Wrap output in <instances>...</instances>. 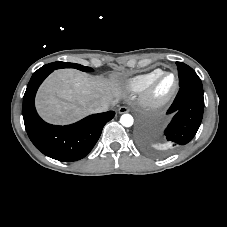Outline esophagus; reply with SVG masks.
Masks as SVG:
<instances>
[{"instance_id": "obj_1", "label": "esophagus", "mask_w": 227, "mask_h": 227, "mask_svg": "<svg viewBox=\"0 0 227 227\" xmlns=\"http://www.w3.org/2000/svg\"><path fill=\"white\" fill-rule=\"evenodd\" d=\"M128 111H129V108L126 107V106H121V107L118 109L119 114H124V113H127Z\"/></svg>"}]
</instances>
